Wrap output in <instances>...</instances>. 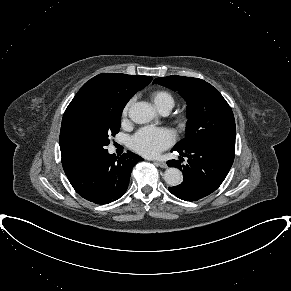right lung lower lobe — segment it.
Here are the masks:
<instances>
[{
  "mask_svg": "<svg viewBox=\"0 0 291 291\" xmlns=\"http://www.w3.org/2000/svg\"><path fill=\"white\" fill-rule=\"evenodd\" d=\"M142 158L130 151L115 157L108 151L77 167L68 180L84 199L105 204L126 192L133 166Z\"/></svg>",
  "mask_w": 291,
  "mask_h": 291,
  "instance_id": "right-lung-lower-lobe-1",
  "label": "right lung lower lobe"
}]
</instances>
